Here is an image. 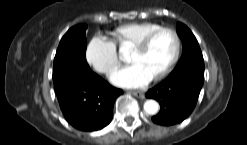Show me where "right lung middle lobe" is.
<instances>
[{"instance_id": "1", "label": "right lung middle lobe", "mask_w": 247, "mask_h": 145, "mask_svg": "<svg viewBox=\"0 0 247 145\" xmlns=\"http://www.w3.org/2000/svg\"><path fill=\"white\" fill-rule=\"evenodd\" d=\"M86 29L85 24H80L63 36L54 58L53 75L75 65L89 67L86 61Z\"/></svg>"}]
</instances>
